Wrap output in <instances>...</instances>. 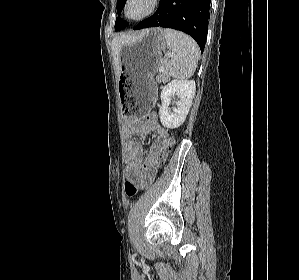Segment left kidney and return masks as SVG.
Returning <instances> with one entry per match:
<instances>
[{
	"instance_id": "5707ae66",
	"label": "left kidney",
	"mask_w": 299,
	"mask_h": 280,
	"mask_svg": "<svg viewBox=\"0 0 299 280\" xmlns=\"http://www.w3.org/2000/svg\"><path fill=\"white\" fill-rule=\"evenodd\" d=\"M196 91L193 80H173L163 87L161 92L162 105L159 109V117L166 128L175 129L182 125L189 113ZM174 96H177L176 107L170 111L169 105Z\"/></svg>"
}]
</instances>
